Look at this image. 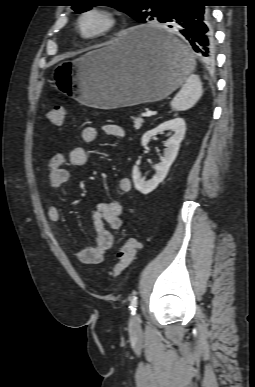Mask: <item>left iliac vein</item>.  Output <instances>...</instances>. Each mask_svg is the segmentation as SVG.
Here are the masks:
<instances>
[{"label": "left iliac vein", "mask_w": 255, "mask_h": 387, "mask_svg": "<svg viewBox=\"0 0 255 387\" xmlns=\"http://www.w3.org/2000/svg\"><path fill=\"white\" fill-rule=\"evenodd\" d=\"M139 328H140L139 317H138V314H135L134 316L131 317L130 329L132 331H137V330H139Z\"/></svg>", "instance_id": "1"}]
</instances>
